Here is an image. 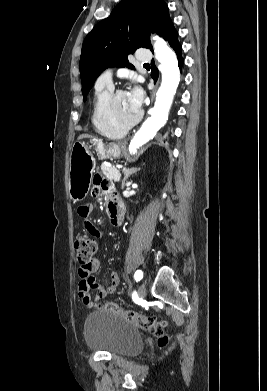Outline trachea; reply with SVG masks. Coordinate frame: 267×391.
I'll use <instances>...</instances> for the list:
<instances>
[{
    "label": "trachea",
    "instance_id": "trachea-1",
    "mask_svg": "<svg viewBox=\"0 0 267 391\" xmlns=\"http://www.w3.org/2000/svg\"><path fill=\"white\" fill-rule=\"evenodd\" d=\"M145 66H149V64L148 63H146V64H144Z\"/></svg>",
    "mask_w": 267,
    "mask_h": 391
}]
</instances>
